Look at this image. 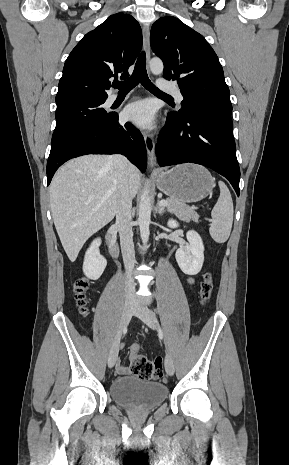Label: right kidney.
<instances>
[{"label":"right kidney","instance_id":"obj_1","mask_svg":"<svg viewBox=\"0 0 289 465\" xmlns=\"http://www.w3.org/2000/svg\"><path fill=\"white\" fill-rule=\"evenodd\" d=\"M100 244L101 239H95L86 251L84 257L83 272L87 278L92 280L99 279L107 265L106 259L100 254Z\"/></svg>","mask_w":289,"mask_h":465}]
</instances>
